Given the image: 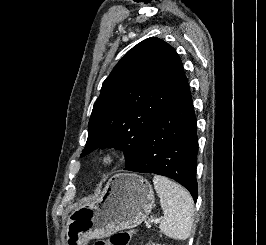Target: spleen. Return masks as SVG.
I'll return each mask as SVG.
<instances>
[{
  "label": "spleen",
  "instance_id": "3e777b00",
  "mask_svg": "<svg viewBox=\"0 0 266 245\" xmlns=\"http://www.w3.org/2000/svg\"><path fill=\"white\" fill-rule=\"evenodd\" d=\"M153 183L164 213L159 225L161 233L176 241H186L194 221V203L190 193L161 175H155Z\"/></svg>",
  "mask_w": 266,
  "mask_h": 245
}]
</instances>
